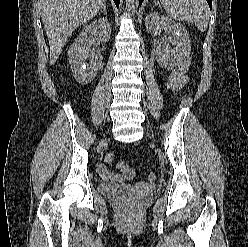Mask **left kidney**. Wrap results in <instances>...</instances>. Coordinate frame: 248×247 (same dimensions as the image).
Here are the masks:
<instances>
[{
  "instance_id": "5707ae66",
  "label": "left kidney",
  "mask_w": 248,
  "mask_h": 247,
  "mask_svg": "<svg viewBox=\"0 0 248 247\" xmlns=\"http://www.w3.org/2000/svg\"><path fill=\"white\" fill-rule=\"evenodd\" d=\"M145 25L147 31L154 36L160 34L162 30H169L174 48L165 47L157 51V61L161 67L172 69L190 55L191 40L181 24L154 12L146 17Z\"/></svg>"
}]
</instances>
